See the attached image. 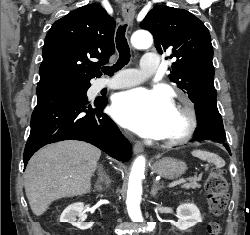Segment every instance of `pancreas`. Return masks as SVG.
Here are the masks:
<instances>
[{
	"label": "pancreas",
	"instance_id": "cf45deb5",
	"mask_svg": "<svg viewBox=\"0 0 250 235\" xmlns=\"http://www.w3.org/2000/svg\"><path fill=\"white\" fill-rule=\"evenodd\" d=\"M200 180V178H194L193 182L184 184L182 187L185 189H196V188H200V185L197 183Z\"/></svg>",
	"mask_w": 250,
	"mask_h": 235
}]
</instances>
